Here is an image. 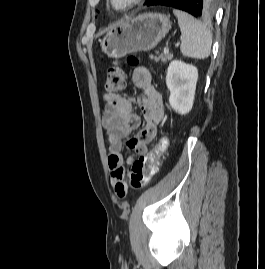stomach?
Here are the masks:
<instances>
[{"instance_id":"1","label":"stomach","mask_w":265,"mask_h":269,"mask_svg":"<svg viewBox=\"0 0 265 269\" xmlns=\"http://www.w3.org/2000/svg\"><path fill=\"white\" fill-rule=\"evenodd\" d=\"M171 21L162 13H144L113 27L101 41L102 51L112 58L153 49L169 32Z\"/></svg>"}]
</instances>
